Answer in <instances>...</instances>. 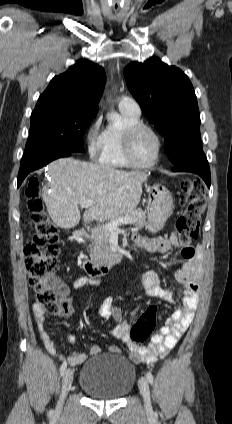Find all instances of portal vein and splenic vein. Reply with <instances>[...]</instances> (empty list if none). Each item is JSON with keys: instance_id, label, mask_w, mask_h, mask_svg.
<instances>
[{"instance_id": "18ae733b", "label": "portal vein and splenic vein", "mask_w": 232, "mask_h": 424, "mask_svg": "<svg viewBox=\"0 0 232 424\" xmlns=\"http://www.w3.org/2000/svg\"><path fill=\"white\" fill-rule=\"evenodd\" d=\"M94 204H95L94 201L87 200V201H82L80 203V206H81V208H88V207L93 206ZM133 221H135V219H133L131 217L119 218V219L114 220L112 222L106 223L104 225V227L106 229H108L110 232H115V233L117 232L118 233L120 231V229L118 228L119 225L129 224V223H132Z\"/></svg>"}]
</instances>
